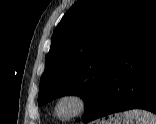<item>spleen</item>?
Returning <instances> with one entry per match:
<instances>
[{
	"label": "spleen",
	"mask_w": 156,
	"mask_h": 124,
	"mask_svg": "<svg viewBox=\"0 0 156 124\" xmlns=\"http://www.w3.org/2000/svg\"><path fill=\"white\" fill-rule=\"evenodd\" d=\"M127 118L135 119L136 124H156V115L139 109L125 111Z\"/></svg>",
	"instance_id": "3e777b00"
}]
</instances>
